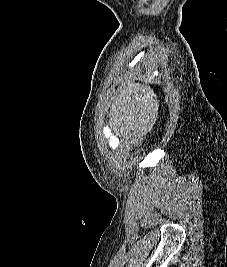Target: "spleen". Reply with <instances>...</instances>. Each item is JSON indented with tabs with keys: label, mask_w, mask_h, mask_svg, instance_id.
Masks as SVG:
<instances>
[{
	"label": "spleen",
	"mask_w": 227,
	"mask_h": 267,
	"mask_svg": "<svg viewBox=\"0 0 227 267\" xmlns=\"http://www.w3.org/2000/svg\"><path fill=\"white\" fill-rule=\"evenodd\" d=\"M120 100L124 105L133 106H112L110 115H156V110H150V106L156 105L152 91L134 83H127L120 91ZM120 100H113V105H120ZM139 105V106H134ZM144 105V106H142ZM109 124L106 129H114L118 137H125V140H140L145 129H151L155 116H107Z\"/></svg>",
	"instance_id": "1"
}]
</instances>
